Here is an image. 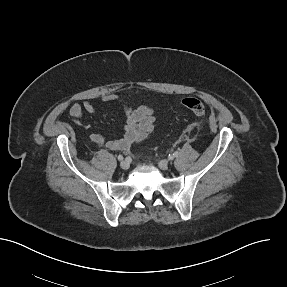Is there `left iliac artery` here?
<instances>
[{"instance_id":"obj_1","label":"left iliac artery","mask_w":287,"mask_h":287,"mask_svg":"<svg viewBox=\"0 0 287 287\" xmlns=\"http://www.w3.org/2000/svg\"><path fill=\"white\" fill-rule=\"evenodd\" d=\"M170 156V155H169ZM178 156V152H174L171 156H170V159L174 158V157H177Z\"/></svg>"}]
</instances>
